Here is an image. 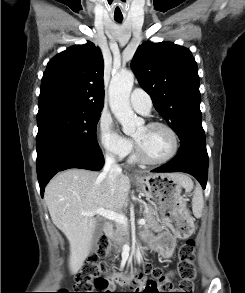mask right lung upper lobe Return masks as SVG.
Masks as SVG:
<instances>
[{"mask_svg":"<svg viewBox=\"0 0 245 293\" xmlns=\"http://www.w3.org/2000/svg\"><path fill=\"white\" fill-rule=\"evenodd\" d=\"M104 61L91 42L56 55L42 77L39 110L69 108L101 111L104 104Z\"/></svg>","mask_w":245,"mask_h":293,"instance_id":"1","label":"right lung upper lobe"}]
</instances>
